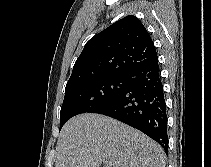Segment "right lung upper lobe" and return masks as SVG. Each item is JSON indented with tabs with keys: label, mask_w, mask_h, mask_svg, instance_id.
Wrapping results in <instances>:
<instances>
[{
	"label": "right lung upper lobe",
	"mask_w": 211,
	"mask_h": 167,
	"mask_svg": "<svg viewBox=\"0 0 211 167\" xmlns=\"http://www.w3.org/2000/svg\"><path fill=\"white\" fill-rule=\"evenodd\" d=\"M156 58V49L144 25L137 17L126 16L85 44L66 89L102 77L126 76Z\"/></svg>",
	"instance_id": "obj_1"
}]
</instances>
